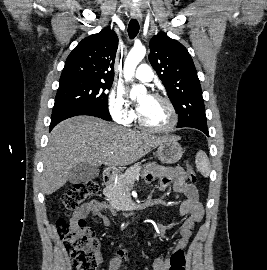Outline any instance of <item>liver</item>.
I'll return each instance as SVG.
<instances>
[{
    "mask_svg": "<svg viewBox=\"0 0 267 270\" xmlns=\"http://www.w3.org/2000/svg\"><path fill=\"white\" fill-rule=\"evenodd\" d=\"M169 138L130 130L96 117L69 118L49 135L43 161V191L50 195L63 187L70 170L79 163L96 167L130 165Z\"/></svg>",
    "mask_w": 267,
    "mask_h": 270,
    "instance_id": "6515ba94",
    "label": "liver"
}]
</instances>
